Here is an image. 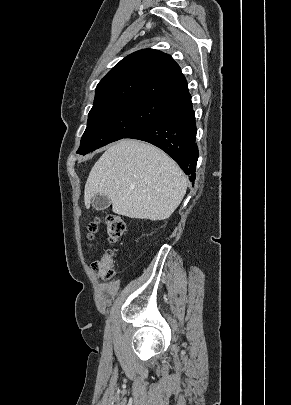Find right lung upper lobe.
<instances>
[{
    "instance_id": "cb5924a9",
    "label": "right lung upper lobe",
    "mask_w": 291,
    "mask_h": 405,
    "mask_svg": "<svg viewBox=\"0 0 291 405\" xmlns=\"http://www.w3.org/2000/svg\"><path fill=\"white\" fill-rule=\"evenodd\" d=\"M187 91V81L170 55L143 49L125 57L99 82L93 107L133 98L168 104Z\"/></svg>"
}]
</instances>
